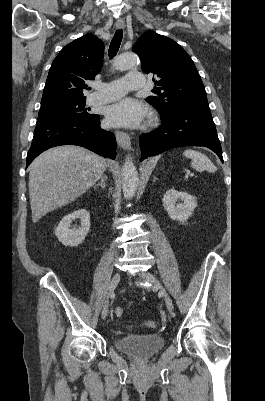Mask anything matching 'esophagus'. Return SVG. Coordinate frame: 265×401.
Returning <instances> with one entry per match:
<instances>
[{"label":"esophagus","instance_id":"esophagus-1","mask_svg":"<svg viewBox=\"0 0 265 401\" xmlns=\"http://www.w3.org/2000/svg\"><path fill=\"white\" fill-rule=\"evenodd\" d=\"M116 26H117V28L121 29V28H124L125 23L123 20H117ZM115 135H116L117 143L121 148L129 147V136L127 135V133H124L121 130H115Z\"/></svg>","mask_w":265,"mask_h":401}]
</instances>
